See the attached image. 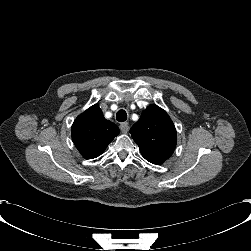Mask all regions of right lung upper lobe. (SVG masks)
Segmentation results:
<instances>
[{
    "instance_id": "1",
    "label": "right lung upper lobe",
    "mask_w": 251,
    "mask_h": 251,
    "mask_svg": "<svg viewBox=\"0 0 251 251\" xmlns=\"http://www.w3.org/2000/svg\"><path fill=\"white\" fill-rule=\"evenodd\" d=\"M71 133L81 155L86 159H93L104 152L108 144L119 134V129L104 118L101 109L95 104L76 118Z\"/></svg>"
}]
</instances>
